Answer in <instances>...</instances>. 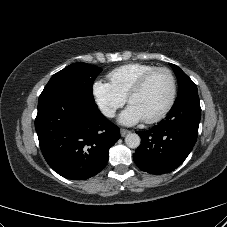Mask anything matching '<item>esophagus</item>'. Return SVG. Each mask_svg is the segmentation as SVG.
<instances>
[{"label": "esophagus", "instance_id": "1", "mask_svg": "<svg viewBox=\"0 0 227 227\" xmlns=\"http://www.w3.org/2000/svg\"><path fill=\"white\" fill-rule=\"evenodd\" d=\"M120 133H121V136H122V137H125L128 133H130V131L127 130V129H123V128H122V129L120 130Z\"/></svg>", "mask_w": 227, "mask_h": 227}]
</instances>
